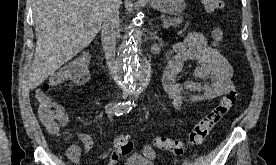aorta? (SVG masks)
<instances>
[{
  "instance_id": "762f6f07",
  "label": "aorta",
  "mask_w": 276,
  "mask_h": 165,
  "mask_svg": "<svg viewBox=\"0 0 276 165\" xmlns=\"http://www.w3.org/2000/svg\"><path fill=\"white\" fill-rule=\"evenodd\" d=\"M117 74L126 90L138 93L144 88L149 64L141 54L139 39L133 28L129 29L120 45Z\"/></svg>"
}]
</instances>
